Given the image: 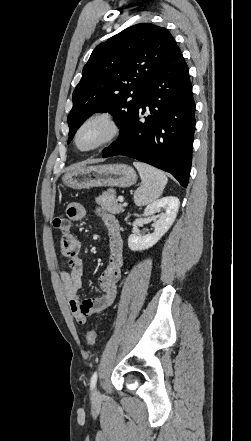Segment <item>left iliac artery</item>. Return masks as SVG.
<instances>
[{
	"label": "left iliac artery",
	"mask_w": 251,
	"mask_h": 441,
	"mask_svg": "<svg viewBox=\"0 0 251 441\" xmlns=\"http://www.w3.org/2000/svg\"><path fill=\"white\" fill-rule=\"evenodd\" d=\"M98 373L95 371L90 379V388L93 390L96 386Z\"/></svg>",
	"instance_id": "1"
}]
</instances>
